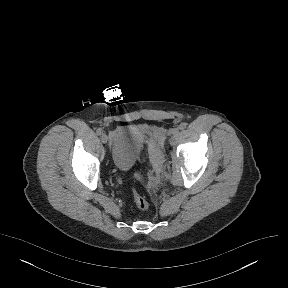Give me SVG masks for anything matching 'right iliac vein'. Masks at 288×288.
I'll list each match as a JSON object with an SVG mask.
<instances>
[{
  "label": "right iliac vein",
  "mask_w": 288,
  "mask_h": 288,
  "mask_svg": "<svg viewBox=\"0 0 288 288\" xmlns=\"http://www.w3.org/2000/svg\"><path fill=\"white\" fill-rule=\"evenodd\" d=\"M101 141H102V143H107V141H108V137H107V135L106 134H101Z\"/></svg>",
  "instance_id": "obj_1"
}]
</instances>
